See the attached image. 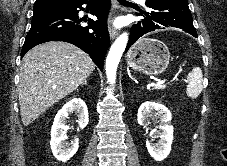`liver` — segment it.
<instances>
[{"label":"liver","mask_w":227,"mask_h":166,"mask_svg":"<svg viewBox=\"0 0 227 166\" xmlns=\"http://www.w3.org/2000/svg\"><path fill=\"white\" fill-rule=\"evenodd\" d=\"M95 69L88 54L61 41L32 48L23 58L18 96L25 126L76 90Z\"/></svg>","instance_id":"liver-1"}]
</instances>
